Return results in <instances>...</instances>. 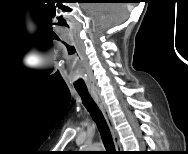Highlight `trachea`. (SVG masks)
Here are the masks:
<instances>
[{
    "label": "trachea",
    "mask_w": 188,
    "mask_h": 154,
    "mask_svg": "<svg viewBox=\"0 0 188 154\" xmlns=\"http://www.w3.org/2000/svg\"><path fill=\"white\" fill-rule=\"evenodd\" d=\"M77 92L82 98L84 106L86 107L98 127V130L106 148L105 152L107 154H116L117 151L115 149L110 129L101 110L99 109L88 91L78 90Z\"/></svg>",
    "instance_id": "3493384b"
}]
</instances>
